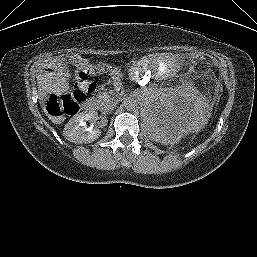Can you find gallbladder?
I'll return each mask as SVG.
<instances>
[{
	"label": "gallbladder",
	"instance_id": "obj_1",
	"mask_svg": "<svg viewBox=\"0 0 257 257\" xmlns=\"http://www.w3.org/2000/svg\"><path fill=\"white\" fill-rule=\"evenodd\" d=\"M57 65L58 67H62V66L67 67L68 63L65 59H62L61 61H58Z\"/></svg>",
	"mask_w": 257,
	"mask_h": 257
}]
</instances>
